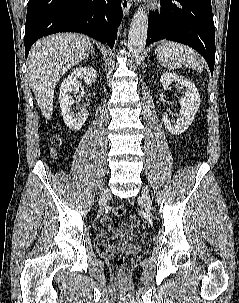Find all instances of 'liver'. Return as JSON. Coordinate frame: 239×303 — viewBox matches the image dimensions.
I'll list each match as a JSON object with an SVG mask.
<instances>
[{"label":"liver","mask_w":239,"mask_h":303,"mask_svg":"<svg viewBox=\"0 0 239 303\" xmlns=\"http://www.w3.org/2000/svg\"><path fill=\"white\" fill-rule=\"evenodd\" d=\"M90 38L77 33H58L38 40L28 57L29 84L46 120L53 112L54 89L61 76L85 59Z\"/></svg>","instance_id":"1"}]
</instances>
